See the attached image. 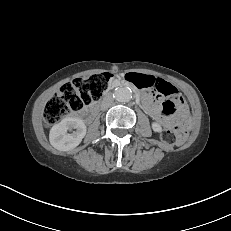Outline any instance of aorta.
Here are the masks:
<instances>
[{
    "label": "aorta",
    "instance_id": "1",
    "mask_svg": "<svg viewBox=\"0 0 231 231\" xmlns=\"http://www.w3.org/2000/svg\"><path fill=\"white\" fill-rule=\"evenodd\" d=\"M114 98L118 102L127 103L132 99V91L127 87H119L114 91Z\"/></svg>",
    "mask_w": 231,
    "mask_h": 231
}]
</instances>
